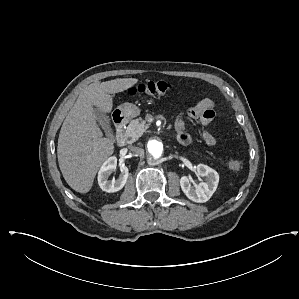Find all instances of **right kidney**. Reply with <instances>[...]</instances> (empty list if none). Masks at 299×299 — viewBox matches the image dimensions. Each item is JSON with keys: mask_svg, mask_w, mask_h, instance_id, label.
Returning <instances> with one entry per match:
<instances>
[{"mask_svg": "<svg viewBox=\"0 0 299 299\" xmlns=\"http://www.w3.org/2000/svg\"><path fill=\"white\" fill-rule=\"evenodd\" d=\"M117 158L115 156L109 157L101 166L98 172V184L100 188L108 193H113L121 190L127 182L129 170L123 166L120 171L121 174L118 179L109 180L111 173L116 169Z\"/></svg>", "mask_w": 299, "mask_h": 299, "instance_id": "obj_1", "label": "right kidney"}]
</instances>
